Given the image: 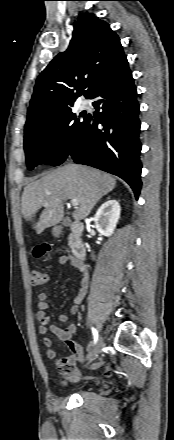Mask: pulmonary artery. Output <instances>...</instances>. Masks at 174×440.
<instances>
[{
    "mask_svg": "<svg viewBox=\"0 0 174 440\" xmlns=\"http://www.w3.org/2000/svg\"><path fill=\"white\" fill-rule=\"evenodd\" d=\"M87 107H89V103L87 102V101H83L82 103H81V108H87Z\"/></svg>",
    "mask_w": 174,
    "mask_h": 440,
    "instance_id": "e3ab8cb5",
    "label": "pulmonary artery"
}]
</instances>
